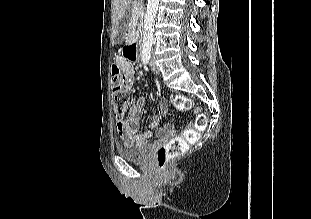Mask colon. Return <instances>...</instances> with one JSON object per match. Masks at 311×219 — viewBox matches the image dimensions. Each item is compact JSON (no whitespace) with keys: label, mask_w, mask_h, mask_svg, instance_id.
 Here are the masks:
<instances>
[{"label":"colon","mask_w":311,"mask_h":219,"mask_svg":"<svg viewBox=\"0 0 311 219\" xmlns=\"http://www.w3.org/2000/svg\"><path fill=\"white\" fill-rule=\"evenodd\" d=\"M125 54L129 59L134 60L137 52L135 49H128ZM112 84L114 113L116 118L121 120L126 113L128 96L125 90V75L121 73L120 68L116 65L112 67ZM173 105L181 111L190 110L193 107L191 100L184 95L174 96ZM206 124L205 114L197 110L194 124L188 127L182 136H175L166 145L158 149L156 161L159 169L162 171L167 170L172 160L186 152L188 145L195 144Z\"/></svg>","instance_id":"5ec220e1"}]
</instances>
